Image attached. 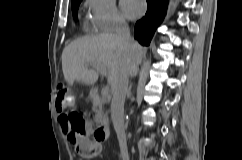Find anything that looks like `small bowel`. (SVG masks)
<instances>
[{"instance_id": "1", "label": "small bowel", "mask_w": 242, "mask_h": 160, "mask_svg": "<svg viewBox=\"0 0 242 160\" xmlns=\"http://www.w3.org/2000/svg\"><path fill=\"white\" fill-rule=\"evenodd\" d=\"M60 123L63 132L66 134L67 140L76 147L78 154L82 157H90L88 156V152L93 146V142L89 138L91 135L90 123H86V130L81 135L71 133L68 124L62 119H60Z\"/></svg>"}]
</instances>
